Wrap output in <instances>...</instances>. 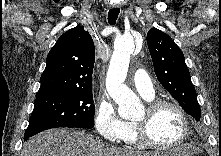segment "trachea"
Here are the masks:
<instances>
[{"label": "trachea", "mask_w": 221, "mask_h": 156, "mask_svg": "<svg viewBox=\"0 0 221 156\" xmlns=\"http://www.w3.org/2000/svg\"><path fill=\"white\" fill-rule=\"evenodd\" d=\"M119 13H120V9H118V8H113V9L109 10V12H108V23L110 25H114L116 23V20L118 18Z\"/></svg>", "instance_id": "3493384b"}]
</instances>
